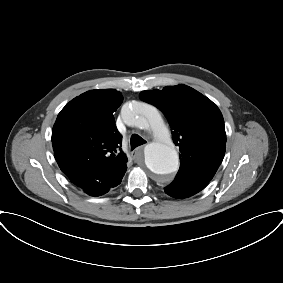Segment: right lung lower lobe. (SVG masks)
Returning <instances> with one entry per match:
<instances>
[{"instance_id":"obj_1","label":"right lung lower lobe","mask_w":283,"mask_h":283,"mask_svg":"<svg viewBox=\"0 0 283 283\" xmlns=\"http://www.w3.org/2000/svg\"><path fill=\"white\" fill-rule=\"evenodd\" d=\"M122 179L116 180L111 184H103L97 180L91 181L86 184L82 189L91 196H100L109 191L110 188L116 187L121 183Z\"/></svg>"}]
</instances>
